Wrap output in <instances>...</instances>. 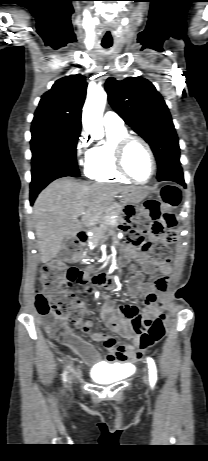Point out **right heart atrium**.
Masks as SVG:
<instances>
[{
    "mask_svg": "<svg viewBox=\"0 0 208 461\" xmlns=\"http://www.w3.org/2000/svg\"><path fill=\"white\" fill-rule=\"evenodd\" d=\"M88 137L82 133L76 144V158L80 164L85 163L89 150L87 149Z\"/></svg>",
    "mask_w": 208,
    "mask_h": 461,
    "instance_id": "right-heart-atrium-1",
    "label": "right heart atrium"
}]
</instances>
